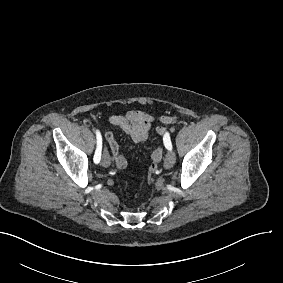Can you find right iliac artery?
<instances>
[{
    "label": "right iliac artery",
    "instance_id": "right-iliac-artery-1",
    "mask_svg": "<svg viewBox=\"0 0 283 283\" xmlns=\"http://www.w3.org/2000/svg\"><path fill=\"white\" fill-rule=\"evenodd\" d=\"M96 135H97V148H96L93 160L97 164L100 162V159H101L102 137L99 131L96 132Z\"/></svg>",
    "mask_w": 283,
    "mask_h": 283
}]
</instances>
